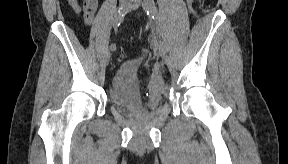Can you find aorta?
Instances as JSON below:
<instances>
[{
    "mask_svg": "<svg viewBox=\"0 0 288 164\" xmlns=\"http://www.w3.org/2000/svg\"><path fill=\"white\" fill-rule=\"evenodd\" d=\"M143 8H145V10H149V8H155L153 0H143Z\"/></svg>",
    "mask_w": 288,
    "mask_h": 164,
    "instance_id": "1",
    "label": "aorta"
}]
</instances>
